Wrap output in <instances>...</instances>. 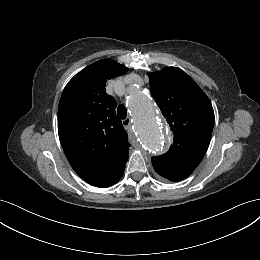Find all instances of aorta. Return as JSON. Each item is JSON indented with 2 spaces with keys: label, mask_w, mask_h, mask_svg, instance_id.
Instances as JSON below:
<instances>
[{
  "label": "aorta",
  "mask_w": 260,
  "mask_h": 260,
  "mask_svg": "<svg viewBox=\"0 0 260 260\" xmlns=\"http://www.w3.org/2000/svg\"><path fill=\"white\" fill-rule=\"evenodd\" d=\"M129 106L135 121V132L144 148L153 155L165 151L167 140L162 132L155 107L139 87L130 85Z\"/></svg>",
  "instance_id": "762f6f07"
}]
</instances>
